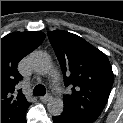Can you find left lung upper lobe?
Returning a JSON list of instances; mask_svg holds the SVG:
<instances>
[{
    "label": "left lung upper lobe",
    "mask_w": 123,
    "mask_h": 123,
    "mask_svg": "<svg viewBox=\"0 0 123 123\" xmlns=\"http://www.w3.org/2000/svg\"><path fill=\"white\" fill-rule=\"evenodd\" d=\"M57 55L66 87L71 93L64 97V111L92 123L107 103L113 72L107 56L83 38L63 31L48 32Z\"/></svg>",
    "instance_id": "left-lung-upper-lobe-1"
}]
</instances>
